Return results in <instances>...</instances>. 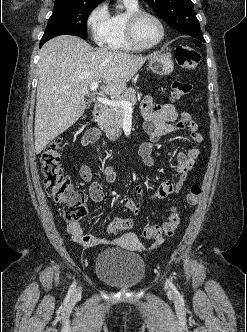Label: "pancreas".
<instances>
[{"mask_svg":"<svg viewBox=\"0 0 247 332\" xmlns=\"http://www.w3.org/2000/svg\"><path fill=\"white\" fill-rule=\"evenodd\" d=\"M132 103L137 102L136 91L133 88L127 89L118 99ZM124 118V110L120 107H108L105 109L101 118L98 120L99 127L105 132L107 138L114 141L122 134V122Z\"/></svg>","mask_w":247,"mask_h":332,"instance_id":"pancreas-1","label":"pancreas"}]
</instances>
